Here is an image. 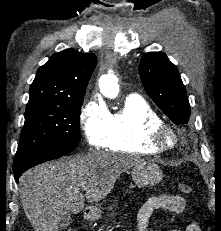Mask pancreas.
Segmentation results:
<instances>
[{"instance_id":"obj_1","label":"pancreas","mask_w":221,"mask_h":231,"mask_svg":"<svg viewBox=\"0 0 221 231\" xmlns=\"http://www.w3.org/2000/svg\"><path fill=\"white\" fill-rule=\"evenodd\" d=\"M114 206H115V205L113 204L109 209H110V210H113V207H114Z\"/></svg>"}]
</instances>
